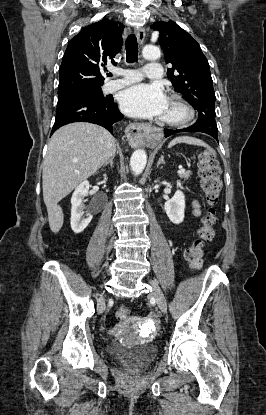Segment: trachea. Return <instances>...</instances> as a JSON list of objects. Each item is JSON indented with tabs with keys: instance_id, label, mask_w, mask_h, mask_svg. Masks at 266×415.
Segmentation results:
<instances>
[{
	"instance_id": "1",
	"label": "trachea",
	"mask_w": 266,
	"mask_h": 415,
	"mask_svg": "<svg viewBox=\"0 0 266 415\" xmlns=\"http://www.w3.org/2000/svg\"><path fill=\"white\" fill-rule=\"evenodd\" d=\"M126 48V61L128 63H134L138 59V44L137 38L134 34H130L125 42ZM111 75V74H109Z\"/></svg>"
}]
</instances>
